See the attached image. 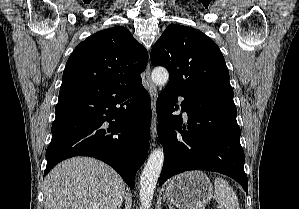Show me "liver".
I'll list each match as a JSON object with an SVG mask.
<instances>
[{
	"label": "liver",
	"instance_id": "6515ba94",
	"mask_svg": "<svg viewBox=\"0 0 299 209\" xmlns=\"http://www.w3.org/2000/svg\"><path fill=\"white\" fill-rule=\"evenodd\" d=\"M125 188V182L107 164L74 157L46 176L44 209H119Z\"/></svg>",
	"mask_w": 299,
	"mask_h": 209
}]
</instances>
